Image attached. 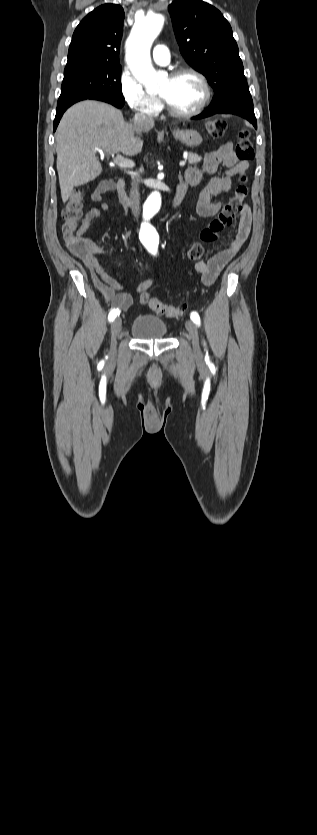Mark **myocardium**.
Masks as SVG:
<instances>
[{
    "instance_id": "obj_1",
    "label": "myocardium",
    "mask_w": 317,
    "mask_h": 835,
    "mask_svg": "<svg viewBox=\"0 0 317 835\" xmlns=\"http://www.w3.org/2000/svg\"><path fill=\"white\" fill-rule=\"evenodd\" d=\"M183 75L194 76L199 81V83L201 85V88H202V97H201L199 103L197 104V106L194 109H192L190 111H187V112L177 111L168 103V101L163 96L160 95L164 104H165V107H166L168 113L175 118H181V119L191 118V117H194V116H197L198 114H200L204 110V108L207 106V104H208V102L210 101V98H211V88H210L209 82H208V80H207V78L205 77L204 74H202L197 69H194V68H191V67H181V68H178V69L174 70L170 74V77L171 78H177V77H180V76H183Z\"/></svg>"
}]
</instances>
